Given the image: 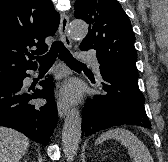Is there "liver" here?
I'll return each instance as SVG.
<instances>
[{
	"instance_id": "6515ba94",
	"label": "liver",
	"mask_w": 168,
	"mask_h": 162,
	"mask_svg": "<svg viewBox=\"0 0 168 162\" xmlns=\"http://www.w3.org/2000/svg\"><path fill=\"white\" fill-rule=\"evenodd\" d=\"M29 147V139L22 133L0 126V162H20Z\"/></svg>"
}]
</instances>
